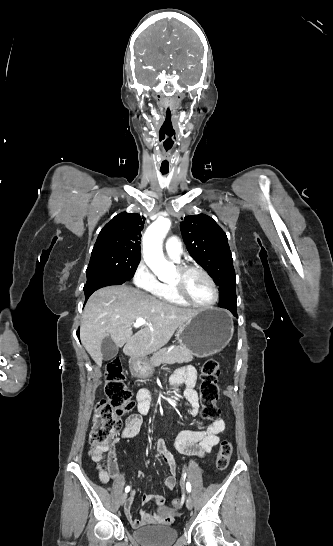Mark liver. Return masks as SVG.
Instances as JSON below:
<instances>
[{"label":"liver","instance_id":"liver-1","mask_svg":"<svg viewBox=\"0 0 333 546\" xmlns=\"http://www.w3.org/2000/svg\"><path fill=\"white\" fill-rule=\"evenodd\" d=\"M199 310L184 309L161 301L128 285L107 286L88 299L80 327L81 342L100 367L102 340L110 337L132 358H142L166 345L182 324ZM143 318L148 324L133 335V323Z\"/></svg>","mask_w":333,"mask_h":546}]
</instances>
